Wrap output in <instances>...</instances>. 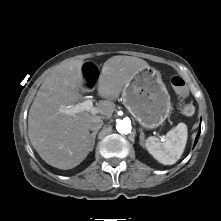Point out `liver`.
Instances as JSON below:
<instances>
[{
	"label": "liver",
	"mask_w": 221,
	"mask_h": 221,
	"mask_svg": "<svg viewBox=\"0 0 221 221\" xmlns=\"http://www.w3.org/2000/svg\"><path fill=\"white\" fill-rule=\"evenodd\" d=\"M83 60L70 62L42 83L30 107L28 136L39 156L49 165L68 170L79 165L93 150L88 124L94 119L109 117L116 100L127 82L148 63L132 56H113L102 67L97 91L105 98L96 109L100 115L88 111L69 115L67 107L91 92L82 75Z\"/></svg>",
	"instance_id": "liver-1"
}]
</instances>
